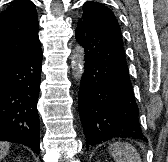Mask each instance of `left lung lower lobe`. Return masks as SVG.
<instances>
[{
  "instance_id": "obj_1",
  "label": "left lung lower lobe",
  "mask_w": 168,
  "mask_h": 162,
  "mask_svg": "<svg viewBox=\"0 0 168 162\" xmlns=\"http://www.w3.org/2000/svg\"><path fill=\"white\" fill-rule=\"evenodd\" d=\"M76 40L86 60L78 96L86 147L117 137L147 141L122 40L86 18L77 23Z\"/></svg>"
}]
</instances>
